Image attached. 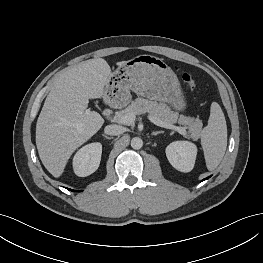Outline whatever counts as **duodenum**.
Here are the masks:
<instances>
[{"mask_svg": "<svg viewBox=\"0 0 263 263\" xmlns=\"http://www.w3.org/2000/svg\"><path fill=\"white\" fill-rule=\"evenodd\" d=\"M117 98L116 97H114L113 98V101H115ZM109 110H110V108L109 107H106L105 109H104V112L105 113H108L109 112Z\"/></svg>", "mask_w": 263, "mask_h": 263, "instance_id": "obj_1", "label": "duodenum"}]
</instances>
